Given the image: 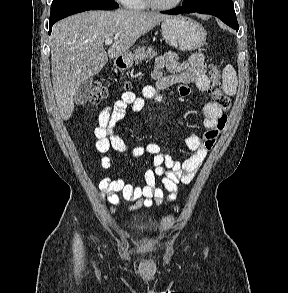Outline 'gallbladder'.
<instances>
[{
  "label": "gallbladder",
  "mask_w": 288,
  "mask_h": 293,
  "mask_svg": "<svg viewBox=\"0 0 288 293\" xmlns=\"http://www.w3.org/2000/svg\"><path fill=\"white\" fill-rule=\"evenodd\" d=\"M93 84V77H89L88 79H85L79 86L76 96H75V103L77 105H84L91 93V88Z\"/></svg>",
  "instance_id": "1"
}]
</instances>
